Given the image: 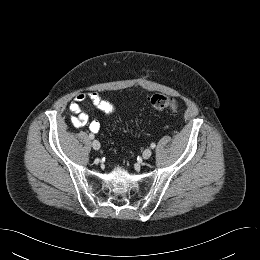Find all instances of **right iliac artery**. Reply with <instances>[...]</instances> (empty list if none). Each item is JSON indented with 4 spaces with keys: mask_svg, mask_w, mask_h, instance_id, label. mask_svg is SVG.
<instances>
[{
    "mask_svg": "<svg viewBox=\"0 0 260 260\" xmlns=\"http://www.w3.org/2000/svg\"><path fill=\"white\" fill-rule=\"evenodd\" d=\"M89 138L90 139H94V135L91 133V134H89Z\"/></svg>",
    "mask_w": 260,
    "mask_h": 260,
    "instance_id": "82829eb1",
    "label": "right iliac artery"
}]
</instances>
